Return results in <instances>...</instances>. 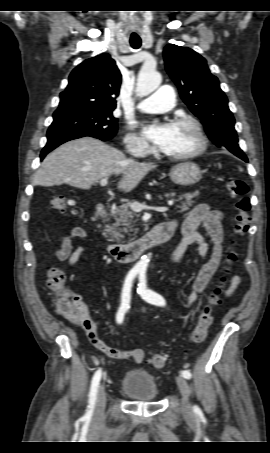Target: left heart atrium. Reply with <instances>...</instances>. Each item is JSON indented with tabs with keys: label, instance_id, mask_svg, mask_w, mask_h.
<instances>
[{
	"label": "left heart atrium",
	"instance_id": "obj_1",
	"mask_svg": "<svg viewBox=\"0 0 270 453\" xmlns=\"http://www.w3.org/2000/svg\"><path fill=\"white\" fill-rule=\"evenodd\" d=\"M143 134L148 140L162 149L168 144L173 134V124L163 123L156 126H146Z\"/></svg>",
	"mask_w": 270,
	"mask_h": 453
}]
</instances>
